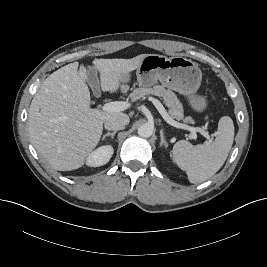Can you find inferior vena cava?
<instances>
[{
    "instance_id": "inferior-vena-cava-1",
    "label": "inferior vena cava",
    "mask_w": 267,
    "mask_h": 267,
    "mask_svg": "<svg viewBox=\"0 0 267 267\" xmlns=\"http://www.w3.org/2000/svg\"><path fill=\"white\" fill-rule=\"evenodd\" d=\"M126 124L127 123L124 119L110 118L105 121L104 126L106 130L117 131V130H123Z\"/></svg>"
}]
</instances>
